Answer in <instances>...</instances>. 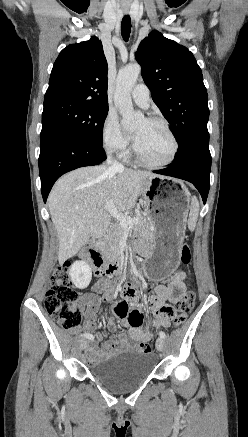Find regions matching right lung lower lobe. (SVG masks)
<instances>
[{
    "instance_id": "right-lung-lower-lobe-1",
    "label": "right lung lower lobe",
    "mask_w": 248,
    "mask_h": 437,
    "mask_svg": "<svg viewBox=\"0 0 248 437\" xmlns=\"http://www.w3.org/2000/svg\"><path fill=\"white\" fill-rule=\"evenodd\" d=\"M40 139L39 172L44 202L61 175L76 168L97 165L106 159L102 146L72 135L54 133Z\"/></svg>"
}]
</instances>
